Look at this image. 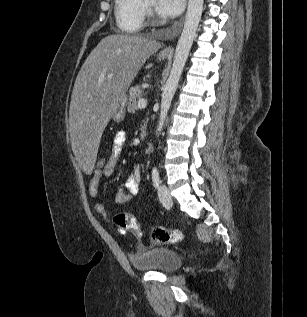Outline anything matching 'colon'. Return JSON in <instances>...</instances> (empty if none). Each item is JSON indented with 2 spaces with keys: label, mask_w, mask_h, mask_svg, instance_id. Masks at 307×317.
<instances>
[{
  "label": "colon",
  "mask_w": 307,
  "mask_h": 317,
  "mask_svg": "<svg viewBox=\"0 0 307 317\" xmlns=\"http://www.w3.org/2000/svg\"><path fill=\"white\" fill-rule=\"evenodd\" d=\"M108 159L104 156L98 155L95 162V169H102ZM113 221L123 230H129L134 235L139 236L141 234L140 226L137 220L124 212H118L114 215ZM152 241L157 244H175L182 242L185 236L182 231L178 229H168L165 227H156L151 233Z\"/></svg>",
  "instance_id": "1"
}]
</instances>
